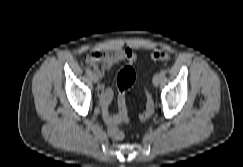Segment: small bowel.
Segmentation results:
<instances>
[{
    "mask_svg": "<svg viewBox=\"0 0 243 167\" xmlns=\"http://www.w3.org/2000/svg\"><path fill=\"white\" fill-rule=\"evenodd\" d=\"M137 59V54L130 48L117 49L112 52L106 51H94L85 56L86 63L92 67L97 76L103 78L105 69H108L116 63L126 60L130 64H133ZM97 92L100 99L101 113L104 122L109 126L112 123L118 122L120 113L119 94H118V108L119 112L116 114L111 113L110 103L113 98V91L111 88L106 87L103 83H100L97 87Z\"/></svg>",
    "mask_w": 243,
    "mask_h": 167,
    "instance_id": "c3829d8e",
    "label": "small bowel"
}]
</instances>
